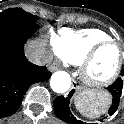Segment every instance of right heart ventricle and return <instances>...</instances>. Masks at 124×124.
Here are the masks:
<instances>
[{"mask_svg": "<svg viewBox=\"0 0 124 124\" xmlns=\"http://www.w3.org/2000/svg\"><path fill=\"white\" fill-rule=\"evenodd\" d=\"M106 40H111V37L98 28H62L57 36V50L65 63L79 65L93 46Z\"/></svg>", "mask_w": 124, "mask_h": 124, "instance_id": "right-heart-ventricle-1", "label": "right heart ventricle"}]
</instances>
